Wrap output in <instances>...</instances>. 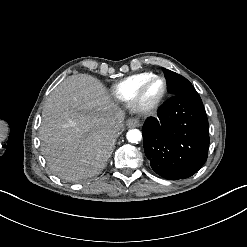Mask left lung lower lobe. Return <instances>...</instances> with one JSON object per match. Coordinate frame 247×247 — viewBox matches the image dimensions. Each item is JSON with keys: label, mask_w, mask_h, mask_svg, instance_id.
<instances>
[{"label": "left lung lower lobe", "mask_w": 247, "mask_h": 247, "mask_svg": "<svg viewBox=\"0 0 247 247\" xmlns=\"http://www.w3.org/2000/svg\"><path fill=\"white\" fill-rule=\"evenodd\" d=\"M143 144L152 169L178 180L196 173L209 148L208 119L197 92L174 95L143 126Z\"/></svg>", "instance_id": "left-lung-lower-lobe-1"}]
</instances>
